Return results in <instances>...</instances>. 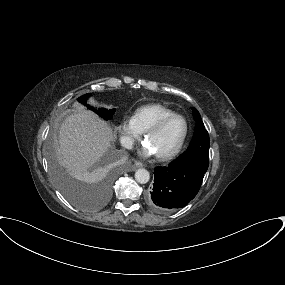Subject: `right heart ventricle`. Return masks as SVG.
<instances>
[{"label":"right heart ventricle","mask_w":285,"mask_h":285,"mask_svg":"<svg viewBox=\"0 0 285 285\" xmlns=\"http://www.w3.org/2000/svg\"><path fill=\"white\" fill-rule=\"evenodd\" d=\"M172 114L175 112L161 104H150L138 108L134 120L140 131L145 132L160 119Z\"/></svg>","instance_id":"e07e8e85"}]
</instances>
